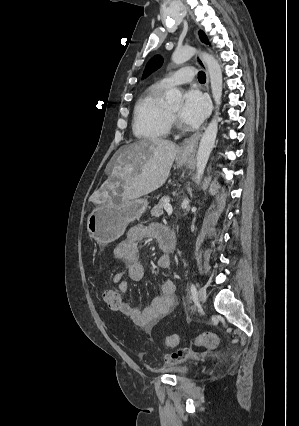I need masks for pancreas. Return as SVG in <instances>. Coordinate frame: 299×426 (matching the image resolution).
Masks as SVG:
<instances>
[{"instance_id": "pancreas-1", "label": "pancreas", "mask_w": 299, "mask_h": 426, "mask_svg": "<svg viewBox=\"0 0 299 426\" xmlns=\"http://www.w3.org/2000/svg\"><path fill=\"white\" fill-rule=\"evenodd\" d=\"M169 201V197H163L159 200L158 204H156L151 210V215L155 217H159L163 214V208L166 202Z\"/></svg>"}]
</instances>
